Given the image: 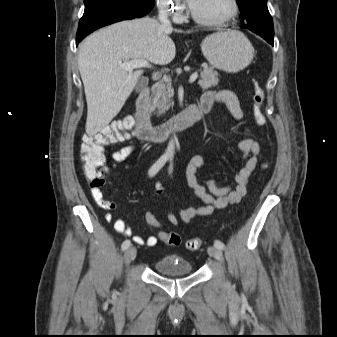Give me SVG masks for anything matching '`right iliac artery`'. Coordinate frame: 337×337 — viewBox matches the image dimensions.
<instances>
[{
	"instance_id": "right-iliac-artery-1",
	"label": "right iliac artery",
	"mask_w": 337,
	"mask_h": 337,
	"mask_svg": "<svg viewBox=\"0 0 337 337\" xmlns=\"http://www.w3.org/2000/svg\"><path fill=\"white\" fill-rule=\"evenodd\" d=\"M167 160H168V156H166V155H163V156H161L154 164H153V166L149 169V172H148V174H149V176L150 177H153L163 166H164V164L167 162ZM130 245H131V242H130V240H125L123 243H122V246H121V248H122V250L124 251V250H126V249H128L129 247H130Z\"/></svg>"
}]
</instances>
